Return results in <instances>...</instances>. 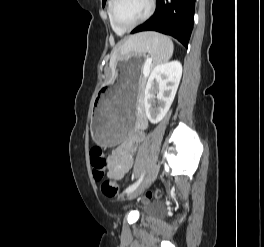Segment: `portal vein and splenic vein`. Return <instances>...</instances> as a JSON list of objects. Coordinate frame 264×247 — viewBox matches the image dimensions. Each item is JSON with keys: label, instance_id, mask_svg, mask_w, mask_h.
Here are the masks:
<instances>
[{"label": "portal vein and splenic vein", "instance_id": "18ae733b", "mask_svg": "<svg viewBox=\"0 0 264 247\" xmlns=\"http://www.w3.org/2000/svg\"><path fill=\"white\" fill-rule=\"evenodd\" d=\"M150 66H151V61L147 60L144 67H143V74L144 76H147L149 74L150 71Z\"/></svg>", "mask_w": 264, "mask_h": 247}]
</instances>
